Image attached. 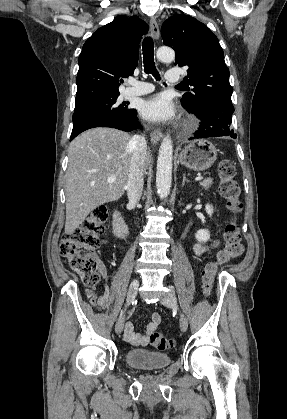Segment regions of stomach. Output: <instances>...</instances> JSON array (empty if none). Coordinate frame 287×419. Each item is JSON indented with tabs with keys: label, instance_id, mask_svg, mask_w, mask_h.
I'll return each mask as SVG.
<instances>
[{
	"label": "stomach",
	"instance_id": "obj_1",
	"mask_svg": "<svg viewBox=\"0 0 287 419\" xmlns=\"http://www.w3.org/2000/svg\"><path fill=\"white\" fill-rule=\"evenodd\" d=\"M217 158L215 146L208 140L196 139L190 141L179 154V162L194 171H204L210 168Z\"/></svg>",
	"mask_w": 287,
	"mask_h": 419
}]
</instances>
